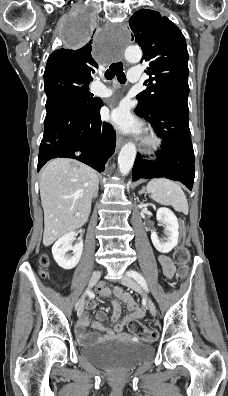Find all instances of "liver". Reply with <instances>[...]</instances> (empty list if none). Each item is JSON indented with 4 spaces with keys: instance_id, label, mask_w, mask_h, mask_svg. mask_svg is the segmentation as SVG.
Wrapping results in <instances>:
<instances>
[{
    "instance_id": "1",
    "label": "liver",
    "mask_w": 228,
    "mask_h": 396,
    "mask_svg": "<svg viewBox=\"0 0 228 396\" xmlns=\"http://www.w3.org/2000/svg\"><path fill=\"white\" fill-rule=\"evenodd\" d=\"M98 185L97 172L77 160L56 158L44 167L40 196L44 210L45 246L87 222ZM76 213L80 215L76 216Z\"/></svg>"
}]
</instances>
